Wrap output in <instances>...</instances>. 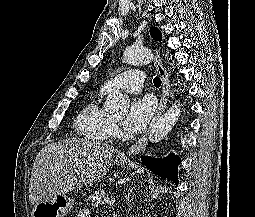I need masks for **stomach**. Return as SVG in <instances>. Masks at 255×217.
Listing matches in <instances>:
<instances>
[{
  "mask_svg": "<svg viewBox=\"0 0 255 217\" xmlns=\"http://www.w3.org/2000/svg\"><path fill=\"white\" fill-rule=\"evenodd\" d=\"M117 165L122 166L126 163V159L116 158ZM74 206V201L65 196H55L50 200L40 202L34 205L32 217H64Z\"/></svg>",
  "mask_w": 255,
  "mask_h": 217,
  "instance_id": "obj_1",
  "label": "stomach"
}]
</instances>
